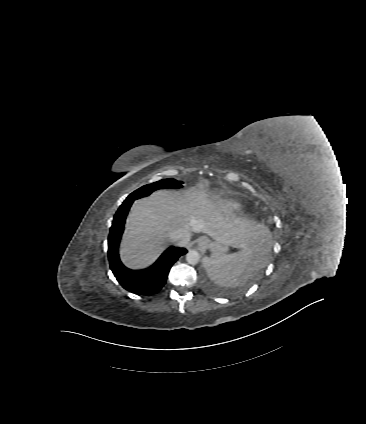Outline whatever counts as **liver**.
Returning <instances> with one entry per match:
<instances>
[{
    "label": "liver",
    "instance_id": "1",
    "mask_svg": "<svg viewBox=\"0 0 366 424\" xmlns=\"http://www.w3.org/2000/svg\"><path fill=\"white\" fill-rule=\"evenodd\" d=\"M179 229L203 232L234 248L268 250V228L230 214L206 185H199L182 193L158 190L133 203L119 250L122 263L134 271L149 267L171 242L170 234Z\"/></svg>",
    "mask_w": 366,
    "mask_h": 424
}]
</instances>
